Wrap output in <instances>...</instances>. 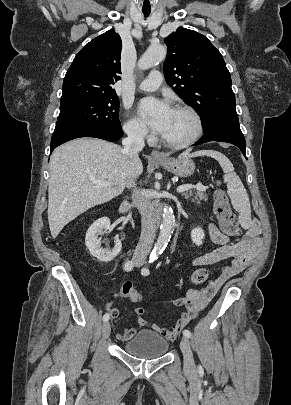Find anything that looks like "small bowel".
Listing matches in <instances>:
<instances>
[{
	"label": "small bowel",
	"instance_id": "small-bowel-1",
	"mask_svg": "<svg viewBox=\"0 0 291 405\" xmlns=\"http://www.w3.org/2000/svg\"><path fill=\"white\" fill-rule=\"evenodd\" d=\"M208 233L211 241L219 247L196 257L192 261V264L194 266H207L225 260H228L229 263L208 284L198 289H189L185 297L178 298L174 301V305L185 306L187 311L181 315L180 319L171 329L152 324V329L169 341L175 340L181 329L198 316L200 311L207 306L220 287L229 278L237 275L248 267L261 249V239L259 237L260 225L257 221L249 223L246 227L245 237L234 244H228V236L212 223L208 226ZM109 313L111 318H117L119 316V310L117 308H111ZM144 313L143 308H137L135 310L138 323L137 327H130L121 333H117V339L127 341L133 337L138 328L148 325L147 321L142 318Z\"/></svg>",
	"mask_w": 291,
	"mask_h": 405
}]
</instances>
